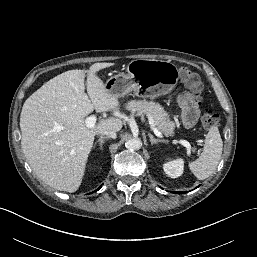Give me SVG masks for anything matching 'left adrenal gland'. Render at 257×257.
<instances>
[{"instance_id": "left-adrenal-gland-1", "label": "left adrenal gland", "mask_w": 257, "mask_h": 257, "mask_svg": "<svg viewBox=\"0 0 257 257\" xmlns=\"http://www.w3.org/2000/svg\"><path fill=\"white\" fill-rule=\"evenodd\" d=\"M148 136H149V138H150L151 145H154V144H157V143L166 142L165 140L155 139V138L153 137V135H151V134H149Z\"/></svg>"}]
</instances>
